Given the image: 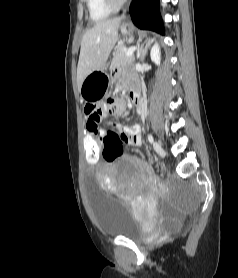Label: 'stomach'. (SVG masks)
Wrapping results in <instances>:
<instances>
[{
  "label": "stomach",
  "mask_w": 238,
  "mask_h": 278,
  "mask_svg": "<svg viewBox=\"0 0 238 278\" xmlns=\"http://www.w3.org/2000/svg\"><path fill=\"white\" fill-rule=\"evenodd\" d=\"M121 33L123 35H131L134 31V27L123 23L120 26ZM106 67L100 70H95L88 74L83 80L80 87V95L85 101H97L106 92L109 86V76Z\"/></svg>",
  "instance_id": "stomach-1"
}]
</instances>
